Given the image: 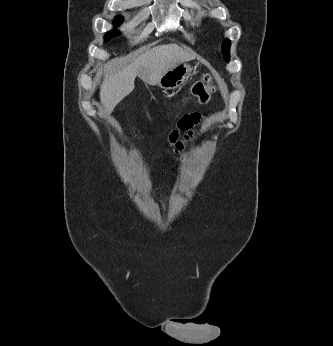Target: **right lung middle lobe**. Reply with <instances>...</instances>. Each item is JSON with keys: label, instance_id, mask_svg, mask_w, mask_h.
I'll list each match as a JSON object with an SVG mask.
<instances>
[{"label": "right lung middle lobe", "instance_id": "obj_1", "mask_svg": "<svg viewBox=\"0 0 333 346\" xmlns=\"http://www.w3.org/2000/svg\"><path fill=\"white\" fill-rule=\"evenodd\" d=\"M117 21L116 23H119V21H121V17H116ZM119 32L117 30H113L107 33V38H110L111 36H116L118 35Z\"/></svg>", "mask_w": 333, "mask_h": 346}]
</instances>
